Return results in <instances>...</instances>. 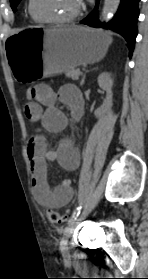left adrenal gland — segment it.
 Wrapping results in <instances>:
<instances>
[{
  "label": "left adrenal gland",
  "instance_id": "left-adrenal-gland-1",
  "mask_svg": "<svg viewBox=\"0 0 148 279\" xmlns=\"http://www.w3.org/2000/svg\"><path fill=\"white\" fill-rule=\"evenodd\" d=\"M97 69V68H96ZM85 78H86V74L83 75V78L81 80L80 86H83L84 82H85Z\"/></svg>",
  "mask_w": 148,
  "mask_h": 279
}]
</instances>
